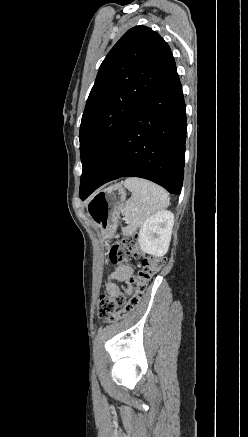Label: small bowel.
Wrapping results in <instances>:
<instances>
[{
    "mask_svg": "<svg viewBox=\"0 0 248 437\" xmlns=\"http://www.w3.org/2000/svg\"><path fill=\"white\" fill-rule=\"evenodd\" d=\"M130 272L131 270L128 267H123V266L117 267L115 271L109 276V280L107 282V290L110 293H116L118 291V287L113 281L124 280L130 274Z\"/></svg>",
    "mask_w": 248,
    "mask_h": 437,
    "instance_id": "c3829d8e",
    "label": "small bowel"
}]
</instances>
